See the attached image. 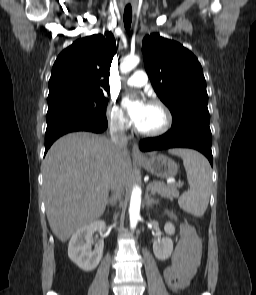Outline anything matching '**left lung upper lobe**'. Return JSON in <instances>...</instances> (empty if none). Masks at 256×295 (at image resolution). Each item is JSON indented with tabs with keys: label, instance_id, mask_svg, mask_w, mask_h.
<instances>
[{
	"label": "left lung upper lobe",
	"instance_id": "1",
	"mask_svg": "<svg viewBox=\"0 0 256 295\" xmlns=\"http://www.w3.org/2000/svg\"><path fill=\"white\" fill-rule=\"evenodd\" d=\"M142 52L153 88L172 114V127L187 121L209 124L206 81L193 53L158 34L143 39Z\"/></svg>",
	"mask_w": 256,
	"mask_h": 295
}]
</instances>
